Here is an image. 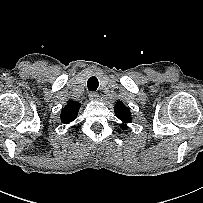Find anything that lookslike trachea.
<instances>
[{
  "label": "trachea",
  "mask_w": 203,
  "mask_h": 203,
  "mask_svg": "<svg viewBox=\"0 0 203 203\" xmlns=\"http://www.w3.org/2000/svg\"><path fill=\"white\" fill-rule=\"evenodd\" d=\"M99 86L98 79L94 76L90 77L87 82L88 90L96 91Z\"/></svg>",
  "instance_id": "obj_1"
}]
</instances>
